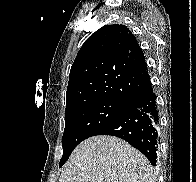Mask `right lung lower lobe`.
<instances>
[{
  "instance_id": "right-lung-lower-lobe-1",
  "label": "right lung lower lobe",
  "mask_w": 196,
  "mask_h": 182,
  "mask_svg": "<svg viewBox=\"0 0 196 182\" xmlns=\"http://www.w3.org/2000/svg\"><path fill=\"white\" fill-rule=\"evenodd\" d=\"M96 135H112L124 139L156 166L160 139L159 117L151 82L130 103L127 110L104 124L92 136Z\"/></svg>"
}]
</instances>
